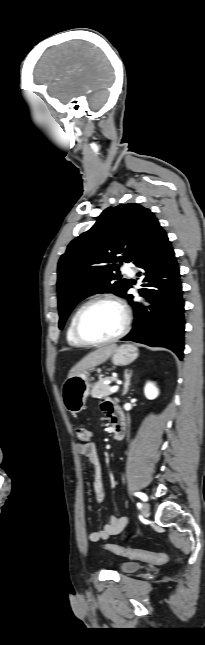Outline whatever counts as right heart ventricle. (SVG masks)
Segmentation results:
<instances>
[{"label":"right heart ventricle","mask_w":205,"mask_h":645,"mask_svg":"<svg viewBox=\"0 0 205 645\" xmlns=\"http://www.w3.org/2000/svg\"><path fill=\"white\" fill-rule=\"evenodd\" d=\"M77 311H75L68 323L67 329H66V340L70 346L73 347H80L83 346V344L75 337L74 332H73V323H74V318L75 314Z\"/></svg>","instance_id":"e07e8e85"}]
</instances>
